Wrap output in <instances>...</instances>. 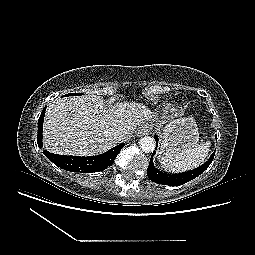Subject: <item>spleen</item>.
Instances as JSON below:
<instances>
[{"mask_svg":"<svg viewBox=\"0 0 255 255\" xmlns=\"http://www.w3.org/2000/svg\"><path fill=\"white\" fill-rule=\"evenodd\" d=\"M210 145L211 142L206 141L176 155H160V163L165 170L171 172H181L196 168L205 161L210 151Z\"/></svg>","mask_w":255,"mask_h":255,"instance_id":"spleen-1","label":"spleen"}]
</instances>
